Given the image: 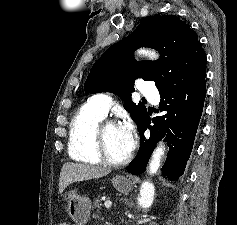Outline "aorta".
Listing matches in <instances>:
<instances>
[{
  "label": "aorta",
  "instance_id": "762f6f07",
  "mask_svg": "<svg viewBox=\"0 0 237 225\" xmlns=\"http://www.w3.org/2000/svg\"><path fill=\"white\" fill-rule=\"evenodd\" d=\"M137 54L139 56L147 57L149 59H156L158 57V55L154 51L146 49L139 50ZM164 153H165V146L163 144H159L155 149V151L153 152L149 163L150 174H155L158 171ZM153 197H154V186L149 182H144L141 185L140 189L139 204L142 207H147L152 203Z\"/></svg>",
  "mask_w": 237,
  "mask_h": 225
}]
</instances>
